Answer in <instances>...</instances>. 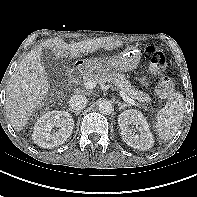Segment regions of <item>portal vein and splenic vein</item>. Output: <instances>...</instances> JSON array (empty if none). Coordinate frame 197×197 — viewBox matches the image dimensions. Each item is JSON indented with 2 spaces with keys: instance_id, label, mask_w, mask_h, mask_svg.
<instances>
[{
  "instance_id": "obj_1",
  "label": "portal vein and splenic vein",
  "mask_w": 197,
  "mask_h": 197,
  "mask_svg": "<svg viewBox=\"0 0 197 197\" xmlns=\"http://www.w3.org/2000/svg\"><path fill=\"white\" fill-rule=\"evenodd\" d=\"M96 85H97L96 81H93V80H89L86 83H84V86L86 89H93L96 87ZM119 93H120V96L122 97V99L126 103H128L130 105H137V102L134 101L133 99H131L130 97H128L123 91L120 90Z\"/></svg>"
}]
</instances>
